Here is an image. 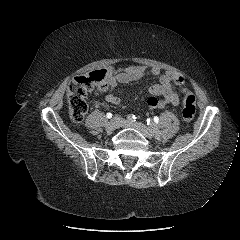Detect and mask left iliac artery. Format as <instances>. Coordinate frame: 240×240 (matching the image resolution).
<instances>
[{"mask_svg": "<svg viewBox=\"0 0 240 240\" xmlns=\"http://www.w3.org/2000/svg\"><path fill=\"white\" fill-rule=\"evenodd\" d=\"M154 121V119H153ZM152 119H147L146 123L149 127V130L151 131V133H153L154 135L161 137L162 133L158 131V128L154 126Z\"/></svg>", "mask_w": 240, "mask_h": 240, "instance_id": "left-iliac-artery-1", "label": "left iliac artery"}]
</instances>
